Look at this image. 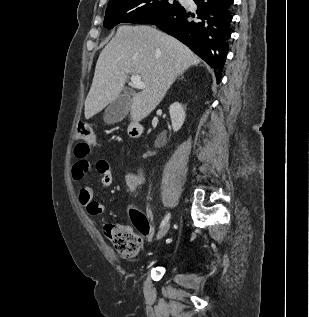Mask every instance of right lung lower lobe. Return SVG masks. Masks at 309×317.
<instances>
[{
	"mask_svg": "<svg viewBox=\"0 0 309 317\" xmlns=\"http://www.w3.org/2000/svg\"><path fill=\"white\" fill-rule=\"evenodd\" d=\"M197 9L183 6L145 18L138 24H153L187 45L214 69L220 82L231 35L233 0H193Z\"/></svg>",
	"mask_w": 309,
	"mask_h": 317,
	"instance_id": "98d812e1",
	"label": "right lung lower lobe"
}]
</instances>
